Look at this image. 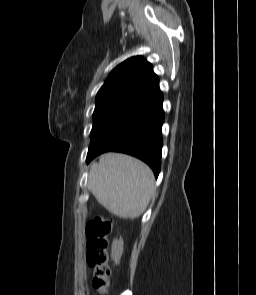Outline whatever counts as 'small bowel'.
<instances>
[{
    "label": "small bowel",
    "mask_w": 256,
    "mask_h": 295,
    "mask_svg": "<svg viewBox=\"0 0 256 295\" xmlns=\"http://www.w3.org/2000/svg\"><path fill=\"white\" fill-rule=\"evenodd\" d=\"M121 245L119 242H116L113 247V256L117 260L120 256Z\"/></svg>",
    "instance_id": "1"
}]
</instances>
